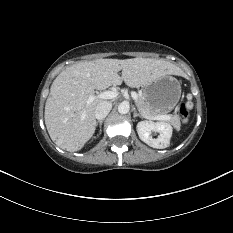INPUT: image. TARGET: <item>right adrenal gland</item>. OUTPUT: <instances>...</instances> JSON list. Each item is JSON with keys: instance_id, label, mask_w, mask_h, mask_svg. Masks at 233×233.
Masks as SVG:
<instances>
[{"instance_id": "2a0ac1e0", "label": "right adrenal gland", "mask_w": 233, "mask_h": 233, "mask_svg": "<svg viewBox=\"0 0 233 233\" xmlns=\"http://www.w3.org/2000/svg\"><path fill=\"white\" fill-rule=\"evenodd\" d=\"M103 120L97 121L96 126L99 124L100 125V134H101V126H102Z\"/></svg>"}]
</instances>
